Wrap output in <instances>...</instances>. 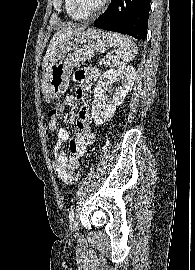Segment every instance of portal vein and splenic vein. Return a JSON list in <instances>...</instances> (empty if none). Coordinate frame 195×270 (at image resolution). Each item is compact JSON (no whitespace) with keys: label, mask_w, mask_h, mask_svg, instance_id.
<instances>
[{"label":"portal vein and splenic vein","mask_w":195,"mask_h":270,"mask_svg":"<svg viewBox=\"0 0 195 270\" xmlns=\"http://www.w3.org/2000/svg\"><path fill=\"white\" fill-rule=\"evenodd\" d=\"M106 57H107V58H111L112 55H111V54H107Z\"/></svg>","instance_id":"obj_1"}]
</instances>
